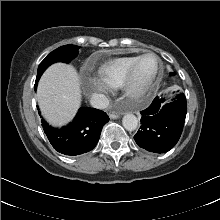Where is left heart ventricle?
Segmentation results:
<instances>
[{
	"label": "left heart ventricle",
	"instance_id": "1",
	"mask_svg": "<svg viewBox=\"0 0 220 220\" xmlns=\"http://www.w3.org/2000/svg\"><path fill=\"white\" fill-rule=\"evenodd\" d=\"M157 70V61L152 56L145 57L137 68V81L142 84L153 77Z\"/></svg>",
	"mask_w": 220,
	"mask_h": 220
}]
</instances>
